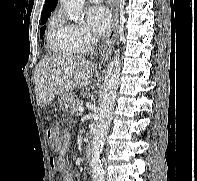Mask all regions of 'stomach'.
Segmentation results:
<instances>
[{"mask_svg":"<svg viewBox=\"0 0 197 181\" xmlns=\"http://www.w3.org/2000/svg\"><path fill=\"white\" fill-rule=\"evenodd\" d=\"M74 100V95L71 91H64L58 96V103L63 111H68Z\"/></svg>","mask_w":197,"mask_h":181,"instance_id":"obj_1","label":"stomach"}]
</instances>
